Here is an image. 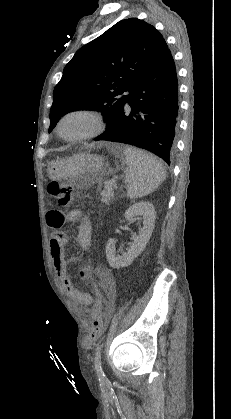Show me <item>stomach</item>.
<instances>
[{
	"instance_id": "obj_1",
	"label": "stomach",
	"mask_w": 231,
	"mask_h": 419,
	"mask_svg": "<svg viewBox=\"0 0 231 419\" xmlns=\"http://www.w3.org/2000/svg\"><path fill=\"white\" fill-rule=\"evenodd\" d=\"M105 163L97 154L78 153L68 158L53 161L48 166V176L53 180H68L79 188L102 180Z\"/></svg>"
}]
</instances>
